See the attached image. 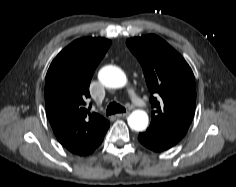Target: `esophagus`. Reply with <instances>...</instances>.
Wrapping results in <instances>:
<instances>
[{
    "mask_svg": "<svg viewBox=\"0 0 236 187\" xmlns=\"http://www.w3.org/2000/svg\"><path fill=\"white\" fill-rule=\"evenodd\" d=\"M129 115V112H126V113H118V114H116L115 116L117 117V118H122V117H126V116H128Z\"/></svg>",
    "mask_w": 236,
    "mask_h": 187,
    "instance_id": "34e87169",
    "label": "esophagus"
}]
</instances>
